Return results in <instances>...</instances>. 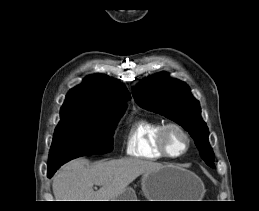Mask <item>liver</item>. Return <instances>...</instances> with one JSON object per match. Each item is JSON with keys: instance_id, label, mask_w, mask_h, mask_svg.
I'll list each match as a JSON object with an SVG mask.
<instances>
[{"instance_id": "1", "label": "liver", "mask_w": 259, "mask_h": 211, "mask_svg": "<svg viewBox=\"0 0 259 211\" xmlns=\"http://www.w3.org/2000/svg\"><path fill=\"white\" fill-rule=\"evenodd\" d=\"M163 165L138 158L99 161L84 158L65 164L53 177L56 201H114L138 176ZM100 189L94 191L93 186Z\"/></svg>"}]
</instances>
